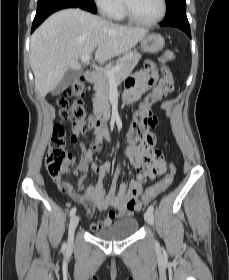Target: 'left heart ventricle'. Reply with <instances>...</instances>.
Segmentation results:
<instances>
[{
    "label": "left heart ventricle",
    "instance_id": "b2bd125f",
    "mask_svg": "<svg viewBox=\"0 0 229 280\" xmlns=\"http://www.w3.org/2000/svg\"><path fill=\"white\" fill-rule=\"evenodd\" d=\"M133 15L141 20H151L161 10L160 0H128Z\"/></svg>",
    "mask_w": 229,
    "mask_h": 280
}]
</instances>
